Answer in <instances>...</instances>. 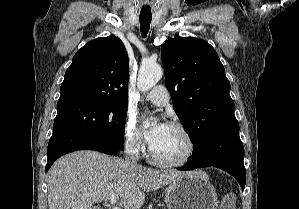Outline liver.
<instances>
[{
	"label": "liver",
	"mask_w": 299,
	"mask_h": 209,
	"mask_svg": "<svg viewBox=\"0 0 299 209\" xmlns=\"http://www.w3.org/2000/svg\"><path fill=\"white\" fill-rule=\"evenodd\" d=\"M187 174L133 165L95 151H77L50 168L49 209H92L94 203L118 195L124 209H139L145 192L166 186Z\"/></svg>",
	"instance_id": "obj_1"
}]
</instances>
